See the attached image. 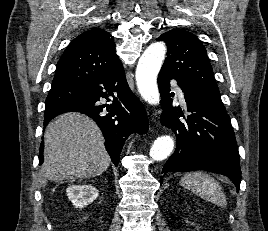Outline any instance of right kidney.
<instances>
[{"instance_id": "ca27d5eb", "label": "right kidney", "mask_w": 268, "mask_h": 231, "mask_svg": "<svg viewBox=\"0 0 268 231\" xmlns=\"http://www.w3.org/2000/svg\"><path fill=\"white\" fill-rule=\"evenodd\" d=\"M66 193L72 204L80 209L92 203L99 195L98 190L89 184L69 186Z\"/></svg>"}]
</instances>
